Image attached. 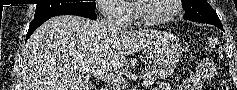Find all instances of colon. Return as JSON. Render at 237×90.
<instances>
[{"label": "colon", "mask_w": 237, "mask_h": 90, "mask_svg": "<svg viewBox=\"0 0 237 90\" xmlns=\"http://www.w3.org/2000/svg\"><path fill=\"white\" fill-rule=\"evenodd\" d=\"M215 49H216V51H217V52H220V48H219V46H216V48H215ZM222 89H223V90H227V88H226L225 86H224V87H222Z\"/></svg>", "instance_id": "5ec220e1"}]
</instances>
